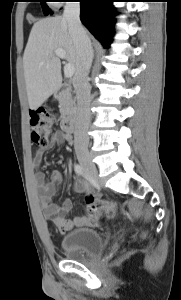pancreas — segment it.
<instances>
[{"label":"pancreas","instance_id":"obj_1","mask_svg":"<svg viewBox=\"0 0 181 300\" xmlns=\"http://www.w3.org/2000/svg\"><path fill=\"white\" fill-rule=\"evenodd\" d=\"M59 108L62 116L74 113L75 99L70 89H65L59 94Z\"/></svg>","mask_w":181,"mask_h":300}]
</instances>
